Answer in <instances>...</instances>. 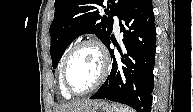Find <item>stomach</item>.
<instances>
[{
    "mask_svg": "<svg viewBox=\"0 0 193 112\" xmlns=\"http://www.w3.org/2000/svg\"><path fill=\"white\" fill-rule=\"evenodd\" d=\"M81 112H114V109L107 101H94L91 106Z\"/></svg>",
    "mask_w": 193,
    "mask_h": 112,
    "instance_id": "stomach-1",
    "label": "stomach"
}]
</instances>
